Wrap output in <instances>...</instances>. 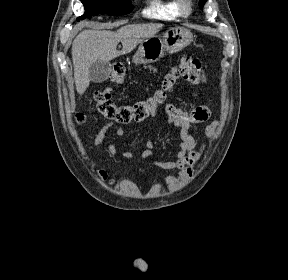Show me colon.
<instances>
[{
  "mask_svg": "<svg viewBox=\"0 0 288 280\" xmlns=\"http://www.w3.org/2000/svg\"><path fill=\"white\" fill-rule=\"evenodd\" d=\"M184 79L191 84H201L205 81V74L201 63L190 55L184 56L179 63L173 65L164 75L161 88L151 97L128 105H117L112 100V89L107 87L96 93L97 108L105 117L120 123L141 121L154 112L165 101L166 92L178 79ZM125 81V69L121 64L114 65L111 82L122 84ZM83 120V114H77Z\"/></svg>",
  "mask_w": 288,
  "mask_h": 280,
  "instance_id": "colon-1",
  "label": "colon"
}]
</instances>
